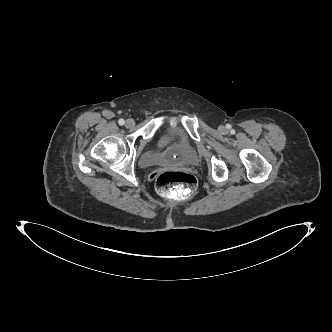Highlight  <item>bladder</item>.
I'll use <instances>...</instances> for the list:
<instances>
[{
  "label": "bladder",
  "mask_w": 332,
  "mask_h": 332,
  "mask_svg": "<svg viewBox=\"0 0 332 332\" xmlns=\"http://www.w3.org/2000/svg\"><path fill=\"white\" fill-rule=\"evenodd\" d=\"M199 156L188 137L177 129H168L160 134L155 151H146L139 157L143 168L152 166H193Z\"/></svg>",
  "instance_id": "obj_1"
}]
</instances>
